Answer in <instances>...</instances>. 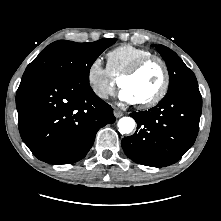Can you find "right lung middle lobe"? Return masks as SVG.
I'll use <instances>...</instances> for the list:
<instances>
[{
  "label": "right lung middle lobe",
  "instance_id": "obj_1",
  "mask_svg": "<svg viewBox=\"0 0 221 221\" xmlns=\"http://www.w3.org/2000/svg\"><path fill=\"white\" fill-rule=\"evenodd\" d=\"M116 40V38L101 39L90 43L55 41L41 51L24 73L50 72L89 82L92 64Z\"/></svg>",
  "mask_w": 221,
  "mask_h": 221
}]
</instances>
